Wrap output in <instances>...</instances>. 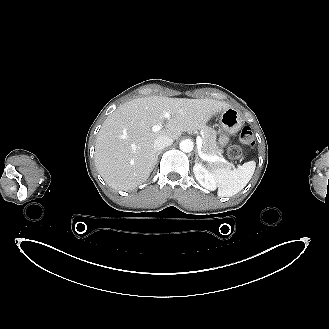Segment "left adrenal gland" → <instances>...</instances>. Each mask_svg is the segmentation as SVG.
Masks as SVG:
<instances>
[{
    "label": "left adrenal gland",
    "instance_id": "obj_1",
    "mask_svg": "<svg viewBox=\"0 0 329 329\" xmlns=\"http://www.w3.org/2000/svg\"><path fill=\"white\" fill-rule=\"evenodd\" d=\"M200 160L198 153L195 154V162H198Z\"/></svg>",
    "mask_w": 329,
    "mask_h": 329
}]
</instances>
